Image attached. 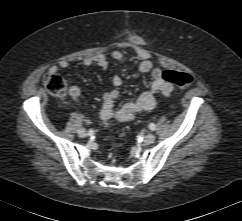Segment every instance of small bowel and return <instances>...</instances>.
Wrapping results in <instances>:
<instances>
[{
    "label": "small bowel",
    "instance_id": "c3829d8e",
    "mask_svg": "<svg viewBox=\"0 0 242 221\" xmlns=\"http://www.w3.org/2000/svg\"><path fill=\"white\" fill-rule=\"evenodd\" d=\"M123 51L133 53L140 60L138 70L142 73H150L152 82L150 88L140 96L124 103L120 108H115V100L119 96L118 89L122 85V79L119 76H114L112 79L113 88L103 95V104L100 112V117L103 121L113 119L130 121L141 112L155 109L158 106V96L169 97L173 91V86L162 78L163 71L153 66L151 54L143 44L135 40L122 42L117 49L111 52V57L117 62H122L124 60ZM94 63L102 69H107L109 66L108 57L104 54L86 57L82 60V64L86 67ZM68 67L69 62L61 60L57 65L51 66L49 70L56 72L59 69H67ZM69 92L72 99L79 102L80 88L76 85L71 86Z\"/></svg>",
    "mask_w": 242,
    "mask_h": 221
}]
</instances>
